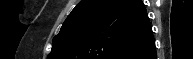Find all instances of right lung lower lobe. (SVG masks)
Listing matches in <instances>:
<instances>
[{"label":"right lung lower lobe","mask_w":193,"mask_h":59,"mask_svg":"<svg viewBox=\"0 0 193 59\" xmlns=\"http://www.w3.org/2000/svg\"><path fill=\"white\" fill-rule=\"evenodd\" d=\"M123 59H156L155 40L153 35L136 51Z\"/></svg>","instance_id":"obj_1"}]
</instances>
